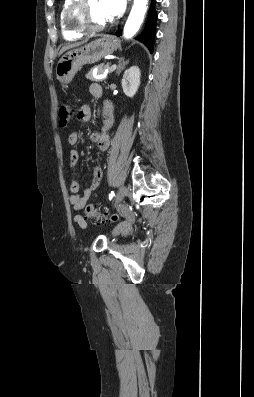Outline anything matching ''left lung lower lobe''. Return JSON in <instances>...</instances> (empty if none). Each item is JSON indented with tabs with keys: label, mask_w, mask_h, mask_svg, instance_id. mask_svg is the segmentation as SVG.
I'll use <instances>...</instances> for the list:
<instances>
[{
	"label": "left lung lower lobe",
	"mask_w": 254,
	"mask_h": 397,
	"mask_svg": "<svg viewBox=\"0 0 254 397\" xmlns=\"http://www.w3.org/2000/svg\"><path fill=\"white\" fill-rule=\"evenodd\" d=\"M156 11H155V3L154 0H152L151 7L149 9L148 13V19L146 22V25L144 27L143 32L141 35L137 38L139 41L143 42L150 52H153L154 49V38H155V33H156ZM122 31L119 29L116 32V36H121Z\"/></svg>",
	"instance_id": "left-lung-lower-lobe-1"
}]
</instances>
